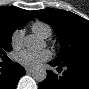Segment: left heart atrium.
Wrapping results in <instances>:
<instances>
[{
	"label": "left heart atrium",
	"instance_id": "39dd6f15",
	"mask_svg": "<svg viewBox=\"0 0 89 89\" xmlns=\"http://www.w3.org/2000/svg\"><path fill=\"white\" fill-rule=\"evenodd\" d=\"M50 57L51 53L48 50H44L41 52H31L28 50H23L16 54L15 59L19 64L27 68H36L41 63L50 59Z\"/></svg>",
	"mask_w": 89,
	"mask_h": 89
}]
</instances>
